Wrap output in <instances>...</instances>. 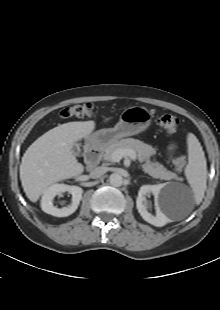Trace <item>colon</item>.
<instances>
[{"instance_id":"1","label":"colon","mask_w":220,"mask_h":310,"mask_svg":"<svg viewBox=\"0 0 220 310\" xmlns=\"http://www.w3.org/2000/svg\"><path fill=\"white\" fill-rule=\"evenodd\" d=\"M94 113V106L92 103H82L61 110L60 116L62 118H84L90 117ZM180 120L174 114H163L158 118L159 126L168 133H174L179 127ZM175 170L177 173H182L185 169L187 159L185 156H177L173 159Z\"/></svg>"}]
</instances>
